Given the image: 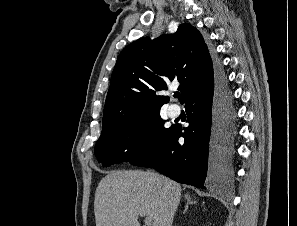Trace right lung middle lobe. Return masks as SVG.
<instances>
[{"instance_id": "1", "label": "right lung middle lobe", "mask_w": 297, "mask_h": 226, "mask_svg": "<svg viewBox=\"0 0 297 226\" xmlns=\"http://www.w3.org/2000/svg\"><path fill=\"white\" fill-rule=\"evenodd\" d=\"M160 110L127 117L117 123L102 125L95 145V155L103 166L139 160L152 152L167 136L170 128L160 117Z\"/></svg>"}]
</instances>
